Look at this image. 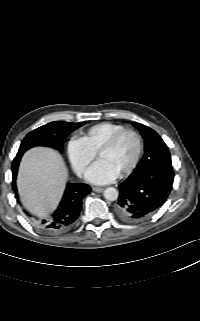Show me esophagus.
<instances>
[{"instance_id":"34e87169","label":"esophagus","mask_w":200,"mask_h":321,"mask_svg":"<svg viewBox=\"0 0 200 321\" xmlns=\"http://www.w3.org/2000/svg\"><path fill=\"white\" fill-rule=\"evenodd\" d=\"M93 191L97 192V193H100L102 192L104 189L102 187H93L92 188Z\"/></svg>"}]
</instances>
